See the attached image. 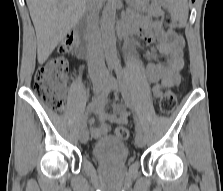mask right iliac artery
Masks as SVG:
<instances>
[{"label":"right iliac artery","instance_id":"right-iliac-artery-1","mask_svg":"<svg viewBox=\"0 0 223 191\" xmlns=\"http://www.w3.org/2000/svg\"><path fill=\"white\" fill-rule=\"evenodd\" d=\"M110 93V88H105L100 95H97L93 98L92 102L88 105V111H92L94 107L99 104L101 101L105 100ZM85 128L84 122L81 124V129Z\"/></svg>","mask_w":223,"mask_h":191}]
</instances>
